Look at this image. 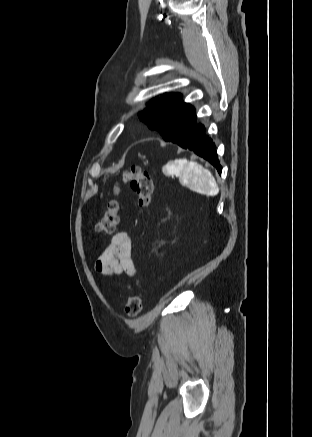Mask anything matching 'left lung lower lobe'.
Listing matches in <instances>:
<instances>
[{
    "label": "left lung lower lobe",
    "mask_w": 312,
    "mask_h": 437,
    "mask_svg": "<svg viewBox=\"0 0 312 437\" xmlns=\"http://www.w3.org/2000/svg\"><path fill=\"white\" fill-rule=\"evenodd\" d=\"M173 143L184 149H189L195 154L209 161L221 174L222 167L218 161L215 145L205 134V127L200 123H194L193 127Z\"/></svg>",
    "instance_id": "left-lung-lower-lobe-1"
}]
</instances>
